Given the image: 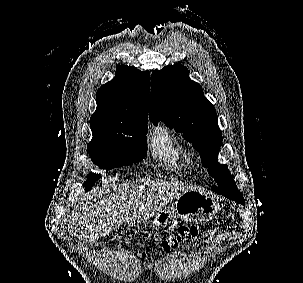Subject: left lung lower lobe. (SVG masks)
<instances>
[{"label": "left lung lower lobe", "instance_id": "left-lung-lower-lobe-1", "mask_svg": "<svg viewBox=\"0 0 303 283\" xmlns=\"http://www.w3.org/2000/svg\"><path fill=\"white\" fill-rule=\"evenodd\" d=\"M221 195H224L228 199L233 200L237 203H240V204L244 205L243 195H241V194L233 193V192H226V193H223Z\"/></svg>", "mask_w": 303, "mask_h": 283}]
</instances>
